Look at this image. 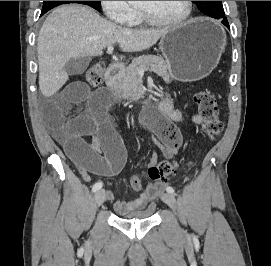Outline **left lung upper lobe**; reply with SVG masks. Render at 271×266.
Masks as SVG:
<instances>
[{"instance_id": "left-lung-upper-lobe-1", "label": "left lung upper lobe", "mask_w": 271, "mask_h": 266, "mask_svg": "<svg viewBox=\"0 0 271 266\" xmlns=\"http://www.w3.org/2000/svg\"><path fill=\"white\" fill-rule=\"evenodd\" d=\"M197 5L198 9L204 14L215 18H225L224 9L221 1H193Z\"/></svg>"}]
</instances>
